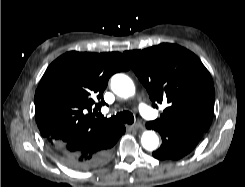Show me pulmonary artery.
I'll use <instances>...</instances> for the list:
<instances>
[{"label":"pulmonary artery","instance_id":"e3ab8cb5","mask_svg":"<svg viewBox=\"0 0 245 187\" xmlns=\"http://www.w3.org/2000/svg\"><path fill=\"white\" fill-rule=\"evenodd\" d=\"M139 112L146 119H154L156 117L155 111L143 102L139 104Z\"/></svg>","mask_w":245,"mask_h":187}]
</instances>
